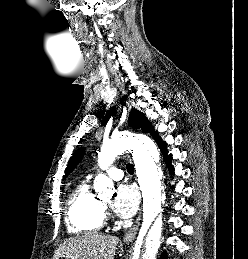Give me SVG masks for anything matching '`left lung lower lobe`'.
I'll use <instances>...</instances> for the list:
<instances>
[{
  "instance_id": "left-lung-lower-lobe-1",
  "label": "left lung lower lobe",
  "mask_w": 248,
  "mask_h": 259,
  "mask_svg": "<svg viewBox=\"0 0 248 259\" xmlns=\"http://www.w3.org/2000/svg\"><path fill=\"white\" fill-rule=\"evenodd\" d=\"M160 149L163 152V156H164V159H165V161H166V163H167V165L169 167V171L171 173H173V168L170 165V159L172 158V156L171 155H167L166 150H165V143H161ZM166 257H167V255L165 254V252H163L162 255L160 256V259H166Z\"/></svg>"
}]
</instances>
